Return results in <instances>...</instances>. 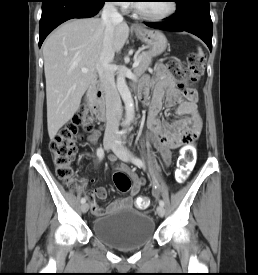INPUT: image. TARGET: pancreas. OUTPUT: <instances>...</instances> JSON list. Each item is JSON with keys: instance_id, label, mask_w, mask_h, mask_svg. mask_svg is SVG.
<instances>
[{"instance_id": "cf45deb5", "label": "pancreas", "mask_w": 258, "mask_h": 275, "mask_svg": "<svg viewBox=\"0 0 258 275\" xmlns=\"http://www.w3.org/2000/svg\"><path fill=\"white\" fill-rule=\"evenodd\" d=\"M152 55L149 52H143L138 56L140 59L139 65L134 68V73L137 76H141L145 73L147 69H149L151 63H152Z\"/></svg>"}]
</instances>
